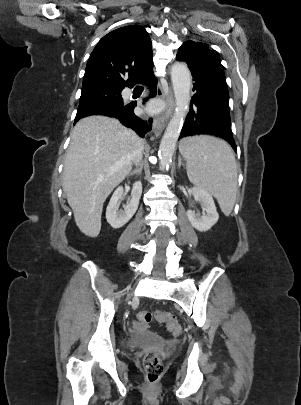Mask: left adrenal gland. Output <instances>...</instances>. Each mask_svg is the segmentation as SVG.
<instances>
[{"instance_id":"1","label":"left adrenal gland","mask_w":301,"mask_h":405,"mask_svg":"<svg viewBox=\"0 0 301 405\" xmlns=\"http://www.w3.org/2000/svg\"><path fill=\"white\" fill-rule=\"evenodd\" d=\"M181 165H183V164H182L181 157H179V158H178V168H180V167H181Z\"/></svg>"}]
</instances>
